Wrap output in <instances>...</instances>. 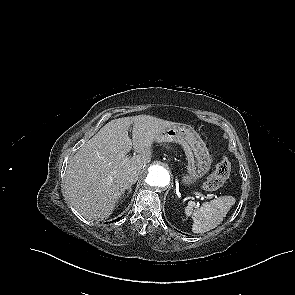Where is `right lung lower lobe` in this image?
Segmentation results:
<instances>
[{"label":"right lung lower lobe","mask_w":295,"mask_h":295,"mask_svg":"<svg viewBox=\"0 0 295 295\" xmlns=\"http://www.w3.org/2000/svg\"><path fill=\"white\" fill-rule=\"evenodd\" d=\"M121 218V217H120ZM120 218H118V219H116V220H119ZM116 220H114V221H116ZM114 221H112V222H114Z\"/></svg>","instance_id":"1"}]
</instances>
